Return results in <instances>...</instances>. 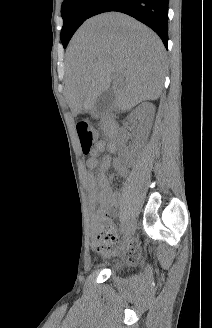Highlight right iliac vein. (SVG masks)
Listing matches in <instances>:
<instances>
[{"instance_id":"63e3f726","label":"right iliac vein","mask_w":212,"mask_h":328,"mask_svg":"<svg viewBox=\"0 0 212 328\" xmlns=\"http://www.w3.org/2000/svg\"><path fill=\"white\" fill-rule=\"evenodd\" d=\"M135 231V222H131L128 227L126 228V232H125V237H124V241L123 243L121 244L120 248H122L125 243L129 240V238L132 236V234L134 233Z\"/></svg>"}]
</instances>
